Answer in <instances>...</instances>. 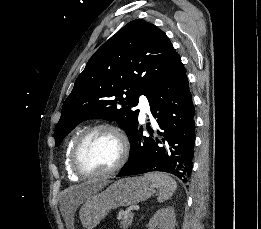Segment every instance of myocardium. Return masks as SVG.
Wrapping results in <instances>:
<instances>
[{
	"instance_id": "f54148a6",
	"label": "myocardium",
	"mask_w": 261,
	"mask_h": 229,
	"mask_svg": "<svg viewBox=\"0 0 261 229\" xmlns=\"http://www.w3.org/2000/svg\"><path fill=\"white\" fill-rule=\"evenodd\" d=\"M99 131H108L113 133L117 137L120 146V155L114 166H112L108 170L97 172V171H90L83 168L79 163L78 156H79V151L82 148L83 144L86 142V140L91 135ZM129 151H130V145H129L128 137L126 136V134L121 128L110 124H100L84 130L75 140V142L71 147L70 165L72 169L81 177L93 178V177L108 176L114 174L115 172H117L123 167V165L126 163L129 157Z\"/></svg>"
}]
</instances>
